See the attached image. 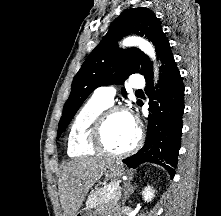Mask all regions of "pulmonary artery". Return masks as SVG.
Instances as JSON below:
<instances>
[{"mask_svg": "<svg viewBox=\"0 0 221 216\" xmlns=\"http://www.w3.org/2000/svg\"><path fill=\"white\" fill-rule=\"evenodd\" d=\"M129 84L133 89H141L144 87L145 81L142 77H134ZM115 93L116 90L113 86L100 87L94 91L93 99L107 106H111L114 101Z\"/></svg>", "mask_w": 221, "mask_h": 216, "instance_id": "pulmonary-artery-1", "label": "pulmonary artery"}]
</instances>
